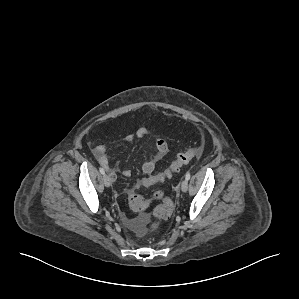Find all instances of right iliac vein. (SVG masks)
<instances>
[{"label":"right iliac vein","mask_w":299,"mask_h":299,"mask_svg":"<svg viewBox=\"0 0 299 299\" xmlns=\"http://www.w3.org/2000/svg\"><path fill=\"white\" fill-rule=\"evenodd\" d=\"M103 181H104L105 186H107V187H109L112 182L111 178L106 174L103 176Z\"/></svg>","instance_id":"right-iliac-vein-1"}]
</instances>
